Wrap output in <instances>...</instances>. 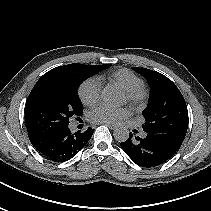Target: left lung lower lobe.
I'll use <instances>...</instances> for the list:
<instances>
[{"instance_id": "1", "label": "left lung lower lobe", "mask_w": 211, "mask_h": 211, "mask_svg": "<svg viewBox=\"0 0 211 211\" xmlns=\"http://www.w3.org/2000/svg\"><path fill=\"white\" fill-rule=\"evenodd\" d=\"M133 162L142 167H156L169 160L178 150L165 141L147 134L145 138L133 136L120 143Z\"/></svg>"}]
</instances>
